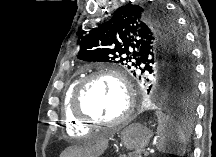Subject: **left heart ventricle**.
Wrapping results in <instances>:
<instances>
[{
    "label": "left heart ventricle",
    "instance_id": "obj_1",
    "mask_svg": "<svg viewBox=\"0 0 216 157\" xmlns=\"http://www.w3.org/2000/svg\"><path fill=\"white\" fill-rule=\"evenodd\" d=\"M83 108L88 114L98 120L105 122L115 121L126 108L124 91L111 78H96L86 88Z\"/></svg>",
    "mask_w": 216,
    "mask_h": 157
}]
</instances>
